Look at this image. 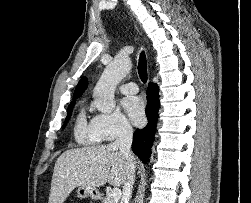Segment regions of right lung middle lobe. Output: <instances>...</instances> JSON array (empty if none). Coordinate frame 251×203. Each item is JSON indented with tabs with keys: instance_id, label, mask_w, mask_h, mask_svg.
<instances>
[{
	"instance_id": "obj_1",
	"label": "right lung middle lobe",
	"mask_w": 251,
	"mask_h": 203,
	"mask_svg": "<svg viewBox=\"0 0 251 203\" xmlns=\"http://www.w3.org/2000/svg\"><path fill=\"white\" fill-rule=\"evenodd\" d=\"M75 105V102L71 103L68 107V110H67V117H66V120H65V124L64 126L66 125L67 121L69 120L70 116H71V113H72V109Z\"/></svg>"
}]
</instances>
